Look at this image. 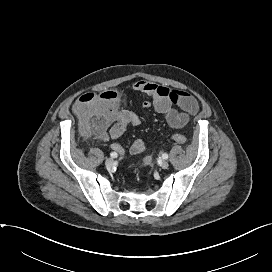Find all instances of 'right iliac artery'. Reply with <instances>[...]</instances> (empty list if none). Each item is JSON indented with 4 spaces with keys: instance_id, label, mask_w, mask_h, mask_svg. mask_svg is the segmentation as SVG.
<instances>
[{
    "instance_id": "right-iliac-artery-1",
    "label": "right iliac artery",
    "mask_w": 272,
    "mask_h": 272,
    "mask_svg": "<svg viewBox=\"0 0 272 272\" xmlns=\"http://www.w3.org/2000/svg\"><path fill=\"white\" fill-rule=\"evenodd\" d=\"M110 156H111L112 158H117V157H118V154H117L116 152H111V153H110Z\"/></svg>"
}]
</instances>
